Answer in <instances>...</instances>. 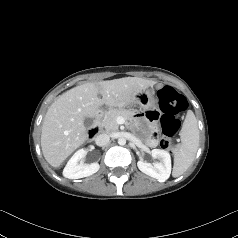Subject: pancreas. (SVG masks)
Instances as JSON below:
<instances>
[{"label":"pancreas","instance_id":"pancreas-1","mask_svg":"<svg viewBox=\"0 0 238 238\" xmlns=\"http://www.w3.org/2000/svg\"><path fill=\"white\" fill-rule=\"evenodd\" d=\"M118 117H123L125 120H131L133 118V112L126 109L109 110L102 120V126L107 132H113L118 130Z\"/></svg>","mask_w":238,"mask_h":238}]
</instances>
